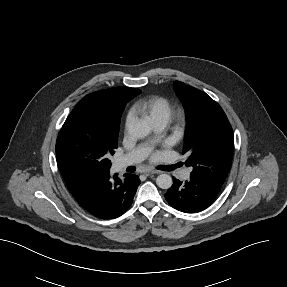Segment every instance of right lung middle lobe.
Returning <instances> with one entry per match:
<instances>
[{
  "mask_svg": "<svg viewBox=\"0 0 287 287\" xmlns=\"http://www.w3.org/2000/svg\"><path fill=\"white\" fill-rule=\"evenodd\" d=\"M121 114L115 121L104 107L81 100L67 117L56 141L58 167L74 180L109 174L117 148Z\"/></svg>",
  "mask_w": 287,
  "mask_h": 287,
  "instance_id": "obj_1",
  "label": "right lung middle lobe"
}]
</instances>
